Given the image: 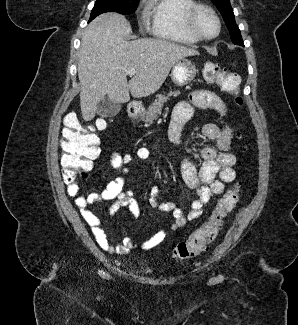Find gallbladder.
<instances>
[{"label":"gallbladder","instance_id":"bac80fb5","mask_svg":"<svg viewBox=\"0 0 298 325\" xmlns=\"http://www.w3.org/2000/svg\"><path fill=\"white\" fill-rule=\"evenodd\" d=\"M120 110V104L110 100L109 96H103L97 104V114L102 116V118H108V116H115Z\"/></svg>","mask_w":298,"mask_h":325}]
</instances>
